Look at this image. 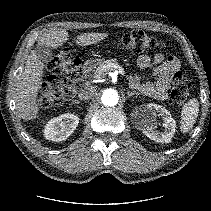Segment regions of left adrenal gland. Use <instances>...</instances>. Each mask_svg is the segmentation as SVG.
I'll use <instances>...</instances> for the list:
<instances>
[{
    "label": "left adrenal gland",
    "mask_w": 211,
    "mask_h": 211,
    "mask_svg": "<svg viewBox=\"0 0 211 211\" xmlns=\"http://www.w3.org/2000/svg\"><path fill=\"white\" fill-rule=\"evenodd\" d=\"M135 94L137 95V94H139V93L127 91V96H128V97H131V96H133V95H135Z\"/></svg>",
    "instance_id": "obj_1"
}]
</instances>
